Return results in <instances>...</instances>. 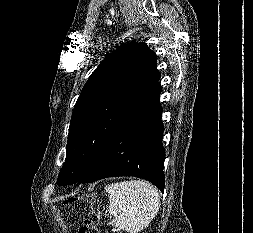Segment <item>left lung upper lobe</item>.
<instances>
[{
    "label": "left lung upper lobe",
    "instance_id": "left-lung-upper-lobe-1",
    "mask_svg": "<svg viewBox=\"0 0 253 233\" xmlns=\"http://www.w3.org/2000/svg\"><path fill=\"white\" fill-rule=\"evenodd\" d=\"M159 78L155 53L143 42L118 48L98 65L75 104L58 185L88 173L117 124Z\"/></svg>",
    "mask_w": 253,
    "mask_h": 233
}]
</instances>
